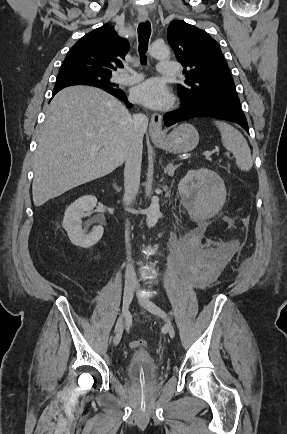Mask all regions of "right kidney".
Returning a JSON list of instances; mask_svg holds the SVG:
<instances>
[{
  "label": "right kidney",
  "mask_w": 287,
  "mask_h": 434,
  "mask_svg": "<svg viewBox=\"0 0 287 434\" xmlns=\"http://www.w3.org/2000/svg\"><path fill=\"white\" fill-rule=\"evenodd\" d=\"M96 204L95 196L86 195L73 202L65 211L62 225L74 245L89 248L101 239L104 232L102 226H95L90 233L82 229V215L93 210Z\"/></svg>",
  "instance_id": "right-kidney-1"
}]
</instances>
